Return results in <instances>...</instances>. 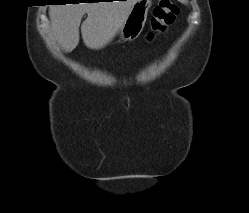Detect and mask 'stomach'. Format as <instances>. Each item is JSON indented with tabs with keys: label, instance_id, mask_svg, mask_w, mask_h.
Listing matches in <instances>:
<instances>
[{
	"label": "stomach",
	"instance_id": "0dacf381",
	"mask_svg": "<svg viewBox=\"0 0 249 213\" xmlns=\"http://www.w3.org/2000/svg\"><path fill=\"white\" fill-rule=\"evenodd\" d=\"M150 7L151 0H137L132 5L125 21L118 30L122 41H131L140 35L145 26Z\"/></svg>",
	"mask_w": 249,
	"mask_h": 213
}]
</instances>
